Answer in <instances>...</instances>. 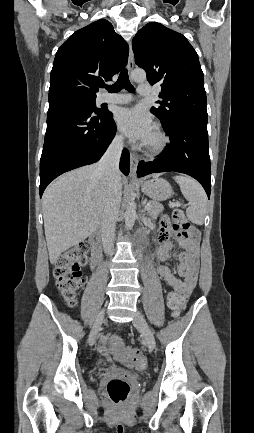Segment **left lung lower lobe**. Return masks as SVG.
I'll return each instance as SVG.
<instances>
[{
	"label": "left lung lower lobe",
	"instance_id": "obj_1",
	"mask_svg": "<svg viewBox=\"0 0 254 433\" xmlns=\"http://www.w3.org/2000/svg\"><path fill=\"white\" fill-rule=\"evenodd\" d=\"M164 131L170 137L169 146L165 147L159 158L151 162L140 161L138 176L166 171L185 173L200 182L209 198L211 169L207 122L185 119Z\"/></svg>",
	"mask_w": 254,
	"mask_h": 433
}]
</instances>
